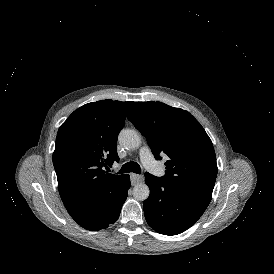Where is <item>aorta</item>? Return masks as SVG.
Wrapping results in <instances>:
<instances>
[{"mask_svg": "<svg viewBox=\"0 0 274 274\" xmlns=\"http://www.w3.org/2000/svg\"><path fill=\"white\" fill-rule=\"evenodd\" d=\"M118 141L127 149H135L141 145V137L139 133L132 129L121 130ZM149 194V187L145 183L136 184L133 188V196L137 200L144 201L149 197Z\"/></svg>", "mask_w": 274, "mask_h": 274, "instance_id": "obj_1", "label": "aorta"}]
</instances>
